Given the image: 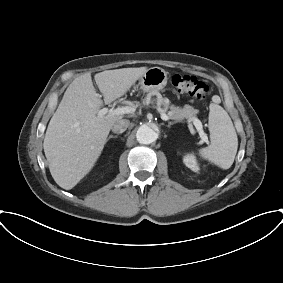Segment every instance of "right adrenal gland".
Masks as SVG:
<instances>
[{
	"label": "right adrenal gland",
	"instance_id": "1",
	"mask_svg": "<svg viewBox=\"0 0 283 283\" xmlns=\"http://www.w3.org/2000/svg\"><path fill=\"white\" fill-rule=\"evenodd\" d=\"M117 137H118V135H110V136L107 138L106 142H108L111 138H117Z\"/></svg>",
	"mask_w": 283,
	"mask_h": 283
}]
</instances>
